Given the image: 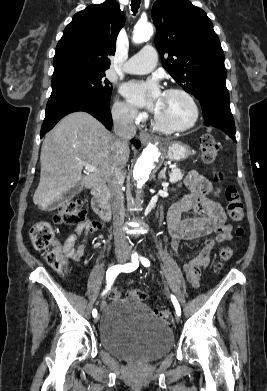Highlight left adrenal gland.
I'll return each instance as SVG.
<instances>
[{"instance_id":"left-adrenal-gland-1","label":"left adrenal gland","mask_w":267,"mask_h":391,"mask_svg":"<svg viewBox=\"0 0 267 391\" xmlns=\"http://www.w3.org/2000/svg\"><path fill=\"white\" fill-rule=\"evenodd\" d=\"M166 168H167V166L165 165L164 168L160 171V173L158 175V180H161V179L166 180V175H165Z\"/></svg>"}]
</instances>
